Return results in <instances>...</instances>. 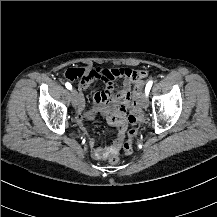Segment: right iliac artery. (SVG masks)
I'll return each instance as SVG.
<instances>
[{"label": "right iliac artery", "instance_id": "obj_1", "mask_svg": "<svg viewBox=\"0 0 217 217\" xmlns=\"http://www.w3.org/2000/svg\"><path fill=\"white\" fill-rule=\"evenodd\" d=\"M65 86H66V88L69 89V90L72 89V85H71L69 82H67V83L65 84Z\"/></svg>", "mask_w": 217, "mask_h": 217}]
</instances>
